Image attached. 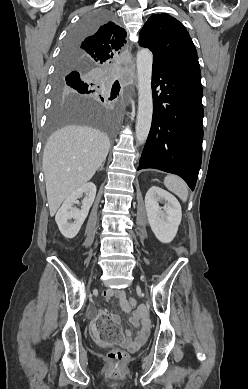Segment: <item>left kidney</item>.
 Returning <instances> with one entry per match:
<instances>
[{
  "mask_svg": "<svg viewBox=\"0 0 248 389\" xmlns=\"http://www.w3.org/2000/svg\"><path fill=\"white\" fill-rule=\"evenodd\" d=\"M165 201L160 207L159 202ZM145 207L149 225L156 238L162 243H170L177 234L182 219L181 206L169 192L152 186L145 196Z\"/></svg>",
  "mask_w": 248,
  "mask_h": 389,
  "instance_id": "5707ae66",
  "label": "left kidney"
}]
</instances>
